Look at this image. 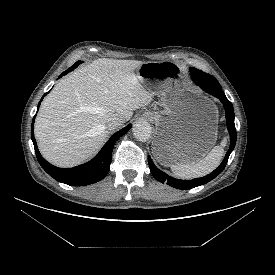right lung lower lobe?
Wrapping results in <instances>:
<instances>
[{
    "label": "right lung lower lobe",
    "mask_w": 275,
    "mask_h": 275,
    "mask_svg": "<svg viewBox=\"0 0 275 275\" xmlns=\"http://www.w3.org/2000/svg\"><path fill=\"white\" fill-rule=\"evenodd\" d=\"M76 67L77 66H72L71 68L63 72L59 76V78L63 75H66L68 72L72 71ZM46 94H44V96ZM44 96L42 97L41 101L43 100ZM40 103L38 104L37 110L39 109ZM34 119L35 116L32 121L31 138L34 144L38 162L40 163L42 168L55 180L71 186L89 185L102 180L110 169L112 151L116 141L131 128V125H128L112 135L111 138L100 150V152L91 161L74 168L62 169L48 163L38 151L36 140L34 138Z\"/></svg>",
    "instance_id": "98d812e1"
}]
</instances>
